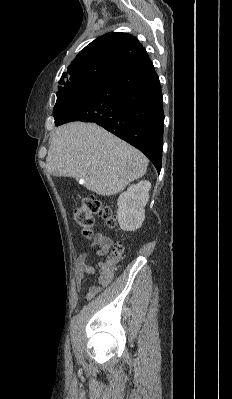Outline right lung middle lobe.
I'll list each match as a JSON object with an SVG mask.
<instances>
[{"instance_id": "dd1d6c3e", "label": "right lung middle lobe", "mask_w": 232, "mask_h": 399, "mask_svg": "<svg viewBox=\"0 0 232 399\" xmlns=\"http://www.w3.org/2000/svg\"><path fill=\"white\" fill-rule=\"evenodd\" d=\"M105 79L86 77L72 80L66 83L62 89L57 92V101L53 109L55 120L57 119L62 107L69 101H74L81 98L86 93L93 90Z\"/></svg>"}]
</instances>
